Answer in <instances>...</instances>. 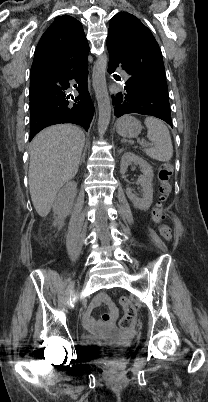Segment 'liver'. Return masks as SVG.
Wrapping results in <instances>:
<instances>
[{"label":"liver","instance_id":"6515ba94","mask_svg":"<svg viewBox=\"0 0 208 402\" xmlns=\"http://www.w3.org/2000/svg\"><path fill=\"white\" fill-rule=\"evenodd\" d=\"M85 136L73 124H57L39 132L30 144L29 190L39 216L49 214L57 192L79 168Z\"/></svg>","mask_w":208,"mask_h":402}]
</instances>
